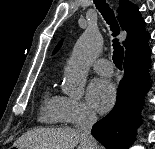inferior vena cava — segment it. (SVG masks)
I'll use <instances>...</instances> for the list:
<instances>
[{
    "mask_svg": "<svg viewBox=\"0 0 155 149\" xmlns=\"http://www.w3.org/2000/svg\"><path fill=\"white\" fill-rule=\"evenodd\" d=\"M96 122L97 116L92 112H86L80 123L79 130L84 137L85 143L88 145V149H99L97 141L91 135L92 126Z\"/></svg>",
    "mask_w": 155,
    "mask_h": 149,
    "instance_id": "1",
    "label": "inferior vena cava"
}]
</instances>
